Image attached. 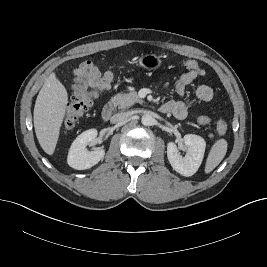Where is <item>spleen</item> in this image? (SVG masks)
<instances>
[{"label": "spleen", "mask_w": 267, "mask_h": 267, "mask_svg": "<svg viewBox=\"0 0 267 267\" xmlns=\"http://www.w3.org/2000/svg\"><path fill=\"white\" fill-rule=\"evenodd\" d=\"M226 152L227 141L225 139L217 140L211 147L208 154L205 165V173H210L213 169H215L225 157Z\"/></svg>", "instance_id": "obj_1"}]
</instances>
